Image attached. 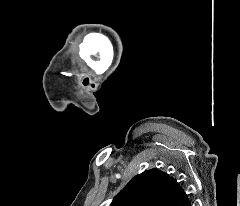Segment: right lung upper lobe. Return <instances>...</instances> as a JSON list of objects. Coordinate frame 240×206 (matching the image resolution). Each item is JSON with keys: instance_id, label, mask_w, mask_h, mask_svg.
Wrapping results in <instances>:
<instances>
[{"instance_id": "1", "label": "right lung upper lobe", "mask_w": 240, "mask_h": 206, "mask_svg": "<svg viewBox=\"0 0 240 206\" xmlns=\"http://www.w3.org/2000/svg\"><path fill=\"white\" fill-rule=\"evenodd\" d=\"M177 181L158 169L134 177L110 206H189Z\"/></svg>"}]
</instances>
